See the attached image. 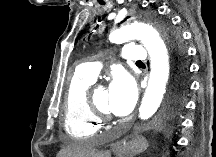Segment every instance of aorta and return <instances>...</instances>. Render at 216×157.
<instances>
[{"mask_svg": "<svg viewBox=\"0 0 216 157\" xmlns=\"http://www.w3.org/2000/svg\"><path fill=\"white\" fill-rule=\"evenodd\" d=\"M134 39L142 42L150 56L149 82L139 108V118L147 120L155 114L166 92L170 72L169 53L158 31L146 23L124 24L110 35L112 42ZM126 155L123 151L118 152V156Z\"/></svg>", "mask_w": 216, "mask_h": 157, "instance_id": "762f6f07", "label": "aorta"}]
</instances>
